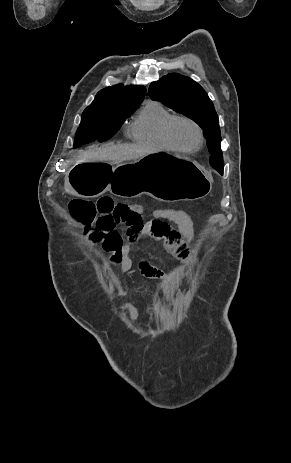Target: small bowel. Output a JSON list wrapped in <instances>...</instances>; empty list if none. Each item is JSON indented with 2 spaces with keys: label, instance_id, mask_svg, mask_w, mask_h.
Here are the masks:
<instances>
[{
  "label": "small bowel",
  "instance_id": "c3829d8e",
  "mask_svg": "<svg viewBox=\"0 0 291 463\" xmlns=\"http://www.w3.org/2000/svg\"><path fill=\"white\" fill-rule=\"evenodd\" d=\"M148 216L149 218L144 220L141 208L131 205V212L124 221L126 240L122 232L115 228L96 229L87 234V242L91 246L102 245L103 249L111 254L110 266L120 271L131 269L133 261L130 258V252L144 238L153 243L163 241L165 248L177 260L185 266H190L196 250L192 244L193 226L188 215L180 210L156 209ZM170 224H175L178 229H173ZM139 271L151 279L167 280L169 278L168 273L153 267L145 260L139 263Z\"/></svg>",
  "mask_w": 291,
  "mask_h": 463
}]
</instances>
